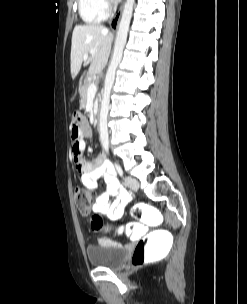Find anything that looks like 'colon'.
<instances>
[{
	"mask_svg": "<svg viewBox=\"0 0 247 304\" xmlns=\"http://www.w3.org/2000/svg\"><path fill=\"white\" fill-rule=\"evenodd\" d=\"M71 120H82V118H71ZM74 198L79 211L83 215H88L93 201V194L88 190L78 188L75 191ZM132 215L139 219L141 224H124L118 228L117 232L129 234L127 236L129 241L134 238H141L133 251V265L141 266L149 259H166V253H168L169 248H173L175 239L172 237V231L168 225H162L163 216L159 207L152 205L151 202H135ZM144 225H159V227L158 229H150V233H147V228ZM91 228L96 232L107 231V227L97 217L92 219Z\"/></svg>",
	"mask_w": 247,
	"mask_h": 304,
	"instance_id": "5ec220e1",
	"label": "colon"
}]
</instances>
